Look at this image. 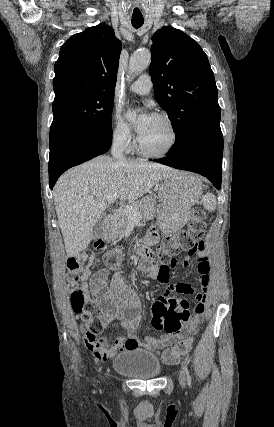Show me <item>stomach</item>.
Returning a JSON list of instances; mask_svg holds the SVG:
<instances>
[{"mask_svg":"<svg viewBox=\"0 0 274 427\" xmlns=\"http://www.w3.org/2000/svg\"><path fill=\"white\" fill-rule=\"evenodd\" d=\"M198 180L194 174L176 172L162 180L158 198L160 204L156 223L163 233H175L187 221L189 210L199 200L201 190H194L193 182ZM196 192V200H192Z\"/></svg>","mask_w":274,"mask_h":427,"instance_id":"obj_1","label":"stomach"}]
</instances>
